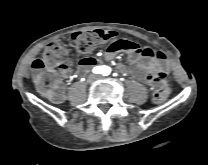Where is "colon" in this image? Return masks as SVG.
I'll return each instance as SVG.
<instances>
[{
	"label": "colon",
	"mask_w": 208,
	"mask_h": 165,
	"mask_svg": "<svg viewBox=\"0 0 208 165\" xmlns=\"http://www.w3.org/2000/svg\"><path fill=\"white\" fill-rule=\"evenodd\" d=\"M72 40L80 53H89L103 42L104 33L101 30L78 31L72 35ZM71 62L68 50L62 44L54 42L48 45L43 57L35 59L31 65L33 78L39 90L53 100H60L63 97V86L56 69H66ZM170 92V86L163 84L154 91V102H164Z\"/></svg>",
	"instance_id": "1"
}]
</instances>
